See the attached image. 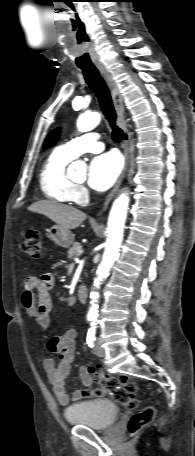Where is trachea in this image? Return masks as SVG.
Wrapping results in <instances>:
<instances>
[{
  "mask_svg": "<svg viewBox=\"0 0 195 456\" xmlns=\"http://www.w3.org/2000/svg\"><path fill=\"white\" fill-rule=\"evenodd\" d=\"M85 77L86 83L96 94L101 110L112 127V139L120 142L123 137V131L116 126V113L112 104L111 96L106 83L100 76L99 71L94 66L80 67Z\"/></svg>",
  "mask_w": 195,
  "mask_h": 456,
  "instance_id": "1",
  "label": "trachea"
}]
</instances>
